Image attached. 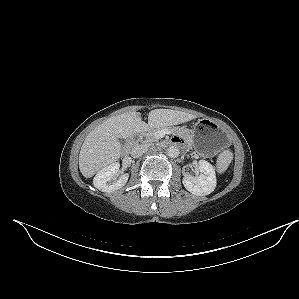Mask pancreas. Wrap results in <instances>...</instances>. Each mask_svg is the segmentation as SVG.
Returning a JSON list of instances; mask_svg holds the SVG:
<instances>
[{"instance_id":"pancreas-1","label":"pancreas","mask_w":299,"mask_h":299,"mask_svg":"<svg viewBox=\"0 0 299 299\" xmlns=\"http://www.w3.org/2000/svg\"><path fill=\"white\" fill-rule=\"evenodd\" d=\"M166 128L170 129L173 132H177V129L169 128V127H166ZM160 130H161V128L149 129L148 131L142 133L141 137H142L143 141L146 143L156 142L158 140V138L156 137V133Z\"/></svg>"}]
</instances>
